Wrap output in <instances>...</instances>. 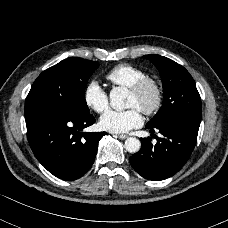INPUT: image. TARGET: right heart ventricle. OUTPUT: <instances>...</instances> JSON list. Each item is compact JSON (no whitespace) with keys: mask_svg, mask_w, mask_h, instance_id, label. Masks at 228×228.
<instances>
[{"mask_svg":"<svg viewBox=\"0 0 228 228\" xmlns=\"http://www.w3.org/2000/svg\"><path fill=\"white\" fill-rule=\"evenodd\" d=\"M148 76L145 71L130 64H119L106 73V78L115 86L129 89L140 79Z\"/></svg>","mask_w":228,"mask_h":228,"instance_id":"1","label":"right heart ventricle"}]
</instances>
